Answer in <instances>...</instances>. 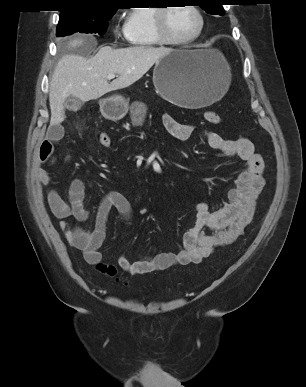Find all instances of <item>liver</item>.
<instances>
[{"label":"liver","mask_w":306,"mask_h":387,"mask_svg":"<svg viewBox=\"0 0 306 387\" xmlns=\"http://www.w3.org/2000/svg\"><path fill=\"white\" fill-rule=\"evenodd\" d=\"M82 44V39H74L69 46L76 48ZM170 51L172 49L163 47L134 46L113 49L103 46L91 58L75 54L64 55L58 61L50 82V124L64 121L63 104L68 97L73 96L87 102L108 92L127 88L141 79ZM109 74H115L117 78L109 82Z\"/></svg>","instance_id":"1"}]
</instances>
